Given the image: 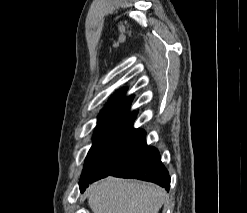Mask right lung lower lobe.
I'll return each mask as SVG.
<instances>
[{"label": "right lung lower lobe", "mask_w": 247, "mask_h": 213, "mask_svg": "<svg viewBox=\"0 0 247 213\" xmlns=\"http://www.w3.org/2000/svg\"><path fill=\"white\" fill-rule=\"evenodd\" d=\"M137 112L129 115L126 126L111 151L99 162V174L80 187L84 192L92 182L109 175L156 183L169 190L170 177L159 151L147 146L145 132L132 127Z\"/></svg>", "instance_id": "98d812e1"}]
</instances>
